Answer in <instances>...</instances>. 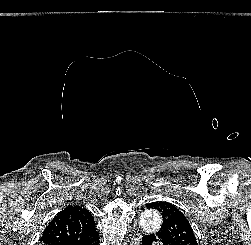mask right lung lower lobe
<instances>
[{"label":"right lung lower lobe","mask_w":251,"mask_h":245,"mask_svg":"<svg viewBox=\"0 0 251 245\" xmlns=\"http://www.w3.org/2000/svg\"><path fill=\"white\" fill-rule=\"evenodd\" d=\"M58 245H99V237H98V234L96 233L87 239L70 240V241L62 242Z\"/></svg>","instance_id":"98d812e1"}]
</instances>
